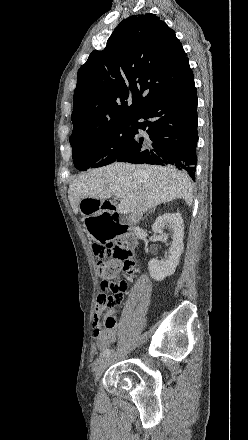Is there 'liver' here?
Masks as SVG:
<instances>
[{
    "mask_svg": "<svg viewBox=\"0 0 248 440\" xmlns=\"http://www.w3.org/2000/svg\"><path fill=\"white\" fill-rule=\"evenodd\" d=\"M121 191L122 203L129 212H144L162 203L183 199L188 206L193 201V186L188 175L175 168L156 165L113 163L93 169L72 181L68 198L75 214L81 200L104 201L112 196L110 187Z\"/></svg>",
    "mask_w": 248,
    "mask_h": 440,
    "instance_id": "liver-1",
    "label": "liver"
}]
</instances>
